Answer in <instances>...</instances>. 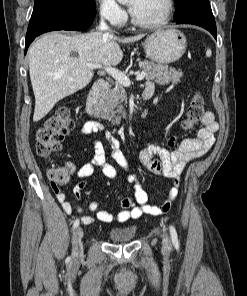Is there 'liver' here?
<instances>
[{
  "mask_svg": "<svg viewBox=\"0 0 247 296\" xmlns=\"http://www.w3.org/2000/svg\"><path fill=\"white\" fill-rule=\"evenodd\" d=\"M144 35L118 38L108 33H49L29 50V73L35 96L33 121L43 119L63 98L86 87L94 76L87 64L111 67L121 62L119 43H130ZM76 53L77 56H72Z\"/></svg>",
  "mask_w": 247,
  "mask_h": 296,
  "instance_id": "1",
  "label": "liver"
}]
</instances>
